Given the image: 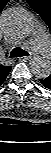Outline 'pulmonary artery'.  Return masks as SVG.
<instances>
[{
  "label": "pulmonary artery",
  "mask_w": 51,
  "mask_h": 153,
  "mask_svg": "<svg viewBox=\"0 0 51 153\" xmlns=\"http://www.w3.org/2000/svg\"><path fill=\"white\" fill-rule=\"evenodd\" d=\"M33 40L35 43L36 50L42 54L47 55L51 50V42L45 35L44 31L36 30L33 34Z\"/></svg>",
  "instance_id": "e3ab8cb5"
}]
</instances>
